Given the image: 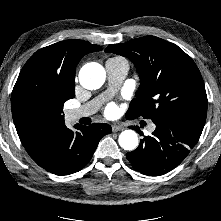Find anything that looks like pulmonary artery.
Segmentation results:
<instances>
[{"label":"pulmonary artery","instance_id":"e3ab8cb5","mask_svg":"<svg viewBox=\"0 0 221 221\" xmlns=\"http://www.w3.org/2000/svg\"><path fill=\"white\" fill-rule=\"evenodd\" d=\"M105 68L108 76L109 90L99 98L83 105L80 108L70 110L67 113L69 121H76L80 118L90 116L93 114L100 104L111 94L117 91L123 80L125 79L129 64L124 58L115 57L110 58L105 63ZM149 129L152 131L155 129L153 124L150 125Z\"/></svg>","mask_w":221,"mask_h":221}]
</instances>
